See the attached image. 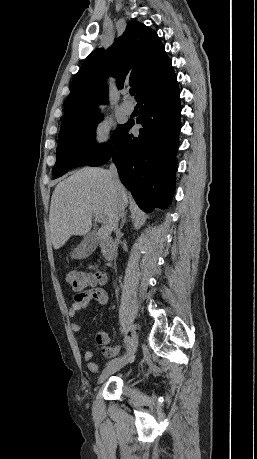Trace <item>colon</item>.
<instances>
[{
	"label": "colon",
	"mask_w": 257,
	"mask_h": 459,
	"mask_svg": "<svg viewBox=\"0 0 257 459\" xmlns=\"http://www.w3.org/2000/svg\"><path fill=\"white\" fill-rule=\"evenodd\" d=\"M65 278L67 284L77 291V299H82L86 295L87 288L90 285L105 281L104 274L96 269L93 271L69 269L65 274Z\"/></svg>",
	"instance_id": "1"
}]
</instances>
